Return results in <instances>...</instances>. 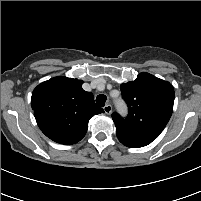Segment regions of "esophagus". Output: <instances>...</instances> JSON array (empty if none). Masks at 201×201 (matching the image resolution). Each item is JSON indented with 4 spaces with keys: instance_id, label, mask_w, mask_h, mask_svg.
Listing matches in <instances>:
<instances>
[{
    "instance_id": "34e87169",
    "label": "esophagus",
    "mask_w": 201,
    "mask_h": 201,
    "mask_svg": "<svg viewBox=\"0 0 201 201\" xmlns=\"http://www.w3.org/2000/svg\"><path fill=\"white\" fill-rule=\"evenodd\" d=\"M103 109H104V112H105L107 115H109V114L112 113V106H111L110 104H106Z\"/></svg>"
}]
</instances>
